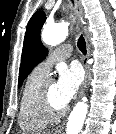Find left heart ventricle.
<instances>
[{"label": "left heart ventricle", "instance_id": "left-heart-ventricle-1", "mask_svg": "<svg viewBox=\"0 0 116 134\" xmlns=\"http://www.w3.org/2000/svg\"><path fill=\"white\" fill-rule=\"evenodd\" d=\"M49 96L52 101V103L57 107H62L63 104L61 103L58 95V90L56 83L52 82L49 87Z\"/></svg>", "mask_w": 116, "mask_h": 134}]
</instances>
